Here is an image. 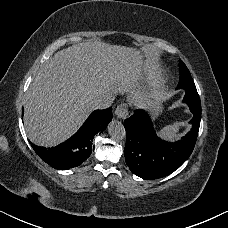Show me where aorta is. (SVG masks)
<instances>
[{
  "label": "aorta",
  "instance_id": "762f6f07",
  "mask_svg": "<svg viewBox=\"0 0 228 228\" xmlns=\"http://www.w3.org/2000/svg\"><path fill=\"white\" fill-rule=\"evenodd\" d=\"M108 132L114 140H122L126 136V131L123 124L117 120L110 122L108 125Z\"/></svg>",
  "mask_w": 228,
  "mask_h": 228
}]
</instances>
